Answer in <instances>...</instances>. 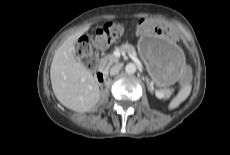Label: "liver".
I'll return each instance as SVG.
<instances>
[{"label": "liver", "instance_id": "obj_1", "mask_svg": "<svg viewBox=\"0 0 230 155\" xmlns=\"http://www.w3.org/2000/svg\"><path fill=\"white\" fill-rule=\"evenodd\" d=\"M89 27L81 28L58 47L50 68L52 89L58 101L81 113L91 110L100 100L98 81L74 57L75 44Z\"/></svg>", "mask_w": 230, "mask_h": 155}]
</instances>
